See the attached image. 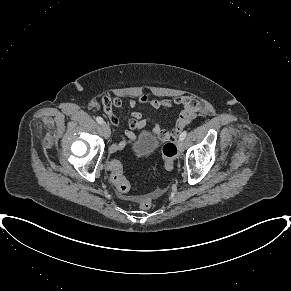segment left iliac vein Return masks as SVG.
<instances>
[{
	"mask_svg": "<svg viewBox=\"0 0 291 291\" xmlns=\"http://www.w3.org/2000/svg\"><path fill=\"white\" fill-rule=\"evenodd\" d=\"M177 147H178L179 152H183L184 151V143H183V140H180V139L178 140Z\"/></svg>",
	"mask_w": 291,
	"mask_h": 291,
	"instance_id": "left-iliac-vein-1",
	"label": "left iliac vein"
}]
</instances>
